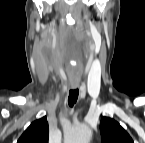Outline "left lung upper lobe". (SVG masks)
<instances>
[{"label":"left lung upper lobe","instance_id":"obj_1","mask_svg":"<svg viewBox=\"0 0 145 143\" xmlns=\"http://www.w3.org/2000/svg\"><path fill=\"white\" fill-rule=\"evenodd\" d=\"M102 143H133L130 135L115 120L102 117L100 123Z\"/></svg>","mask_w":145,"mask_h":143}]
</instances>
